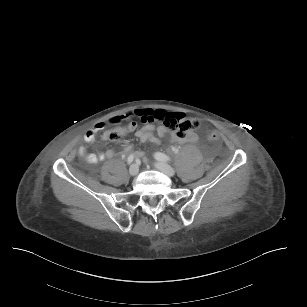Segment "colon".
<instances>
[{
	"label": "colon",
	"mask_w": 307,
	"mask_h": 307,
	"mask_svg": "<svg viewBox=\"0 0 307 307\" xmlns=\"http://www.w3.org/2000/svg\"><path fill=\"white\" fill-rule=\"evenodd\" d=\"M153 120L168 127L170 130L175 131L178 135L184 136L200 128L199 120L190 118L181 113L173 112H161L156 118L152 117ZM100 130L104 131L106 138L110 141L116 142L123 138L126 132L132 130V125H128L125 128H113L107 129L106 125L102 124L99 127ZM207 138L211 143H216L219 139L218 133L209 128L207 130Z\"/></svg>",
	"instance_id": "5ec220e1"
}]
</instances>
